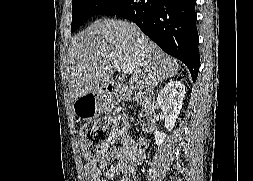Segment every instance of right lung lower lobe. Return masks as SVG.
<instances>
[{
    "label": "right lung lower lobe",
    "mask_w": 253,
    "mask_h": 181,
    "mask_svg": "<svg viewBox=\"0 0 253 181\" xmlns=\"http://www.w3.org/2000/svg\"><path fill=\"white\" fill-rule=\"evenodd\" d=\"M195 3L196 0H130L115 15L134 21L163 51L185 63L195 82L200 65Z\"/></svg>",
    "instance_id": "obj_1"
}]
</instances>
